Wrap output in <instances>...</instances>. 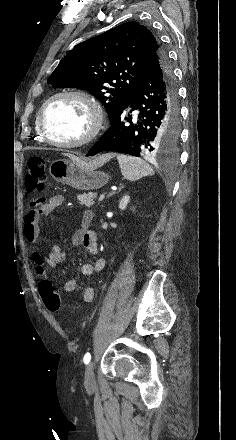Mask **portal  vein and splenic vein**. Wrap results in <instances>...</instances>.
I'll return each instance as SVG.
<instances>
[{
	"mask_svg": "<svg viewBox=\"0 0 236 440\" xmlns=\"http://www.w3.org/2000/svg\"><path fill=\"white\" fill-rule=\"evenodd\" d=\"M104 198H105V195H104V194L100 195V197H99V201H102Z\"/></svg>",
	"mask_w": 236,
	"mask_h": 440,
	"instance_id": "obj_1",
	"label": "portal vein and splenic vein"
}]
</instances>
